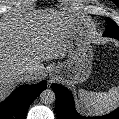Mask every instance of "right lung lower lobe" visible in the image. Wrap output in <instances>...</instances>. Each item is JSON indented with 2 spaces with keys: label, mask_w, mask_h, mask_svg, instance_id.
I'll list each match as a JSON object with an SVG mask.
<instances>
[{
  "label": "right lung lower lobe",
  "mask_w": 119,
  "mask_h": 119,
  "mask_svg": "<svg viewBox=\"0 0 119 119\" xmlns=\"http://www.w3.org/2000/svg\"><path fill=\"white\" fill-rule=\"evenodd\" d=\"M46 86V82L42 81L35 85L17 88L0 103V119H25L28 107Z\"/></svg>",
  "instance_id": "98d812e1"
}]
</instances>
